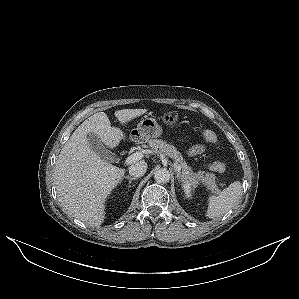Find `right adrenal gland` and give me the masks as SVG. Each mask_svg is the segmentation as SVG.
Returning a JSON list of instances; mask_svg holds the SVG:
<instances>
[{
  "label": "right adrenal gland",
  "mask_w": 299,
  "mask_h": 299,
  "mask_svg": "<svg viewBox=\"0 0 299 299\" xmlns=\"http://www.w3.org/2000/svg\"><path fill=\"white\" fill-rule=\"evenodd\" d=\"M124 178L128 179V184H129L128 187H130V184L133 180H136V177H131V176H125Z\"/></svg>",
  "instance_id": "2a0ac1e0"
}]
</instances>
